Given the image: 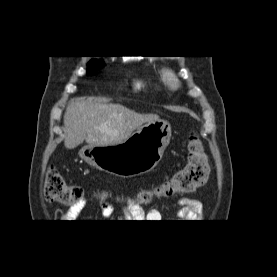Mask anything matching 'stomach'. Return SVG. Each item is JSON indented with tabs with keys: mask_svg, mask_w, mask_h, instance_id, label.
Returning <instances> with one entry per match:
<instances>
[{
	"mask_svg": "<svg viewBox=\"0 0 277 277\" xmlns=\"http://www.w3.org/2000/svg\"><path fill=\"white\" fill-rule=\"evenodd\" d=\"M171 138L164 120L145 123L125 141L108 146H84L79 156L101 171L130 177L155 168Z\"/></svg>",
	"mask_w": 277,
	"mask_h": 277,
	"instance_id": "stomach-1",
	"label": "stomach"
}]
</instances>
